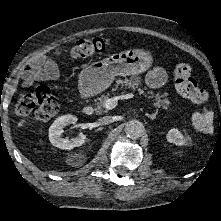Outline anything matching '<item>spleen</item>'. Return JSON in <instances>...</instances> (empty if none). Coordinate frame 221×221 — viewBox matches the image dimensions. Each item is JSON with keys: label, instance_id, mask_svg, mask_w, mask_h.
<instances>
[{"label": "spleen", "instance_id": "1", "mask_svg": "<svg viewBox=\"0 0 221 221\" xmlns=\"http://www.w3.org/2000/svg\"><path fill=\"white\" fill-rule=\"evenodd\" d=\"M213 117H214L213 111H207L205 113L195 112L191 117L192 125L197 131L212 133Z\"/></svg>", "mask_w": 221, "mask_h": 221}]
</instances>
